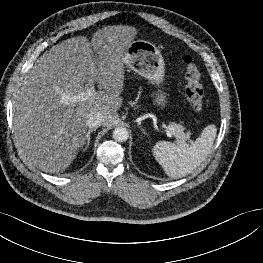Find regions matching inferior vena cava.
<instances>
[{
	"mask_svg": "<svg viewBox=\"0 0 263 263\" xmlns=\"http://www.w3.org/2000/svg\"><path fill=\"white\" fill-rule=\"evenodd\" d=\"M104 116L99 111H92L87 115L86 124L89 128L96 129L103 124Z\"/></svg>",
	"mask_w": 263,
	"mask_h": 263,
	"instance_id": "1",
	"label": "inferior vena cava"
}]
</instances>
